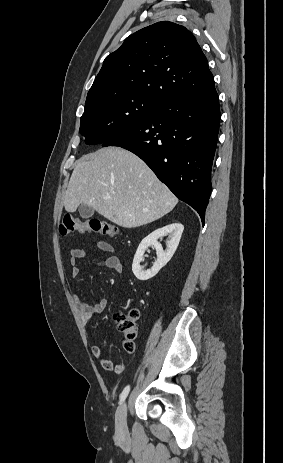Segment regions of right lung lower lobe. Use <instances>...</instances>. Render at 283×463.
Returning a JSON list of instances; mask_svg holds the SVG:
<instances>
[{
	"mask_svg": "<svg viewBox=\"0 0 283 463\" xmlns=\"http://www.w3.org/2000/svg\"><path fill=\"white\" fill-rule=\"evenodd\" d=\"M220 123L214 85L163 100L144 121L102 143L139 156L204 224Z\"/></svg>",
	"mask_w": 283,
	"mask_h": 463,
	"instance_id": "98d812e1",
	"label": "right lung lower lobe"
}]
</instances>
